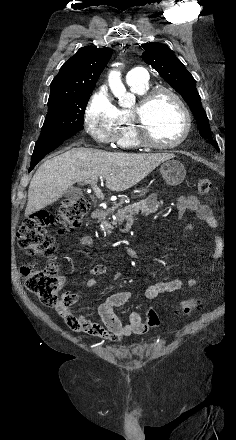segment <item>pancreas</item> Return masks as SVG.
<instances>
[{
  "mask_svg": "<svg viewBox=\"0 0 236 440\" xmlns=\"http://www.w3.org/2000/svg\"><path fill=\"white\" fill-rule=\"evenodd\" d=\"M162 204V201H157V195L151 194L144 200L119 209L115 215V220L111 221L110 223L103 222L104 231L109 234L114 229V226L121 225L125 220L132 219L135 215H138L140 211L142 214L148 215L156 212L159 206Z\"/></svg>",
  "mask_w": 236,
  "mask_h": 440,
  "instance_id": "obj_1",
  "label": "pancreas"
}]
</instances>
